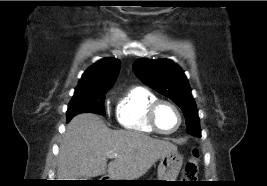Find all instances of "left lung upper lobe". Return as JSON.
Returning a JSON list of instances; mask_svg holds the SVG:
<instances>
[{
  "mask_svg": "<svg viewBox=\"0 0 267 186\" xmlns=\"http://www.w3.org/2000/svg\"><path fill=\"white\" fill-rule=\"evenodd\" d=\"M133 70L147 85L172 99L182 110L187 132L200 137L198 110L184 71L168 59H141L134 63Z\"/></svg>",
  "mask_w": 267,
  "mask_h": 186,
  "instance_id": "5c2ea615",
  "label": "left lung upper lobe"
}]
</instances>
